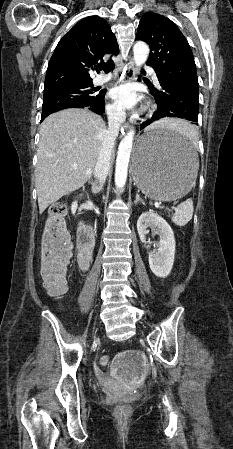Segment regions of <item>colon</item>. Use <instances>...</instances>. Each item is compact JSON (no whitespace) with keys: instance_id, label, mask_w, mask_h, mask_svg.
<instances>
[{"instance_id":"5ec220e1","label":"colon","mask_w":233,"mask_h":449,"mask_svg":"<svg viewBox=\"0 0 233 449\" xmlns=\"http://www.w3.org/2000/svg\"><path fill=\"white\" fill-rule=\"evenodd\" d=\"M66 204L55 202L50 206L49 216L41 237L40 273L48 291L56 297L67 290V266L71 258V240L67 231ZM124 406L118 407L125 413Z\"/></svg>"}]
</instances>
